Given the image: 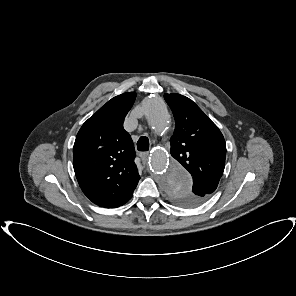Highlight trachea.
Segmentation results:
<instances>
[{
	"label": "trachea",
	"mask_w": 296,
	"mask_h": 296,
	"mask_svg": "<svg viewBox=\"0 0 296 296\" xmlns=\"http://www.w3.org/2000/svg\"><path fill=\"white\" fill-rule=\"evenodd\" d=\"M137 149L139 151H148L149 150V140L146 136H141L137 142Z\"/></svg>",
	"instance_id": "1"
}]
</instances>
